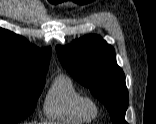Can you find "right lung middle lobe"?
<instances>
[{"label": "right lung middle lobe", "mask_w": 156, "mask_h": 124, "mask_svg": "<svg viewBox=\"0 0 156 124\" xmlns=\"http://www.w3.org/2000/svg\"><path fill=\"white\" fill-rule=\"evenodd\" d=\"M45 85V75L0 71V124H14L33 113Z\"/></svg>", "instance_id": "dd1d6c3e"}]
</instances>
